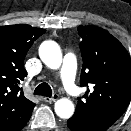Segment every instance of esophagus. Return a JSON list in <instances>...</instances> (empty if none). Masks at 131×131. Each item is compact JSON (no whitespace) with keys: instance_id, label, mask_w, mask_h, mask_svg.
<instances>
[{"instance_id":"34e87169","label":"esophagus","mask_w":131,"mask_h":131,"mask_svg":"<svg viewBox=\"0 0 131 131\" xmlns=\"http://www.w3.org/2000/svg\"><path fill=\"white\" fill-rule=\"evenodd\" d=\"M59 98L58 94H54L53 97H44L43 100L48 103L55 102Z\"/></svg>"}]
</instances>
